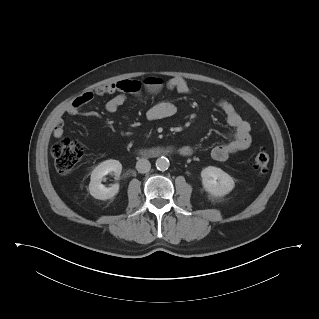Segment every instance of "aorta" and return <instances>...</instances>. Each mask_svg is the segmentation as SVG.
Instances as JSON below:
<instances>
[{
  "label": "aorta",
  "instance_id": "aorta-1",
  "mask_svg": "<svg viewBox=\"0 0 319 319\" xmlns=\"http://www.w3.org/2000/svg\"><path fill=\"white\" fill-rule=\"evenodd\" d=\"M170 163L166 157H160L156 160V167L158 170L165 171L169 168Z\"/></svg>",
  "mask_w": 319,
  "mask_h": 319
}]
</instances>
